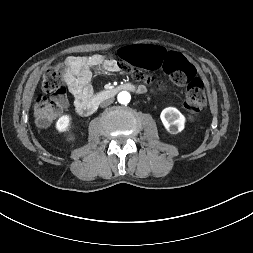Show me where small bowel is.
Masks as SVG:
<instances>
[{
  "instance_id": "1",
  "label": "small bowel",
  "mask_w": 253,
  "mask_h": 253,
  "mask_svg": "<svg viewBox=\"0 0 253 253\" xmlns=\"http://www.w3.org/2000/svg\"><path fill=\"white\" fill-rule=\"evenodd\" d=\"M66 65L65 81L74 97L76 106L92 98L93 88L90 82L95 69L102 68L109 73H116L120 70L116 60L107 59L101 54L69 56L66 59ZM135 87L138 93L147 91V88L142 84H135Z\"/></svg>"
}]
</instances>
